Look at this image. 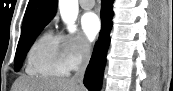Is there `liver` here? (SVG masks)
Instances as JSON below:
<instances>
[{"label": "liver", "instance_id": "1", "mask_svg": "<svg viewBox=\"0 0 173 91\" xmlns=\"http://www.w3.org/2000/svg\"><path fill=\"white\" fill-rule=\"evenodd\" d=\"M12 91H85L70 79L19 77Z\"/></svg>", "mask_w": 173, "mask_h": 91}]
</instances>
